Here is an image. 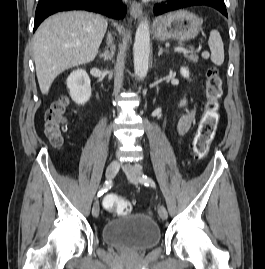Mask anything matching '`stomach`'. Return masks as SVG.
Here are the masks:
<instances>
[{
  "instance_id": "stomach-1",
  "label": "stomach",
  "mask_w": 265,
  "mask_h": 269,
  "mask_svg": "<svg viewBox=\"0 0 265 269\" xmlns=\"http://www.w3.org/2000/svg\"><path fill=\"white\" fill-rule=\"evenodd\" d=\"M203 20L187 10H178L159 17L155 22V35L159 40L188 41L202 30Z\"/></svg>"
}]
</instances>
